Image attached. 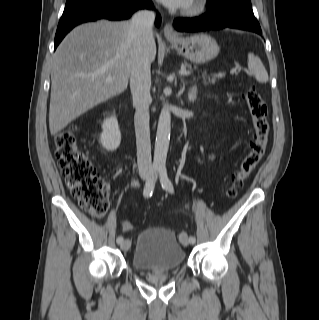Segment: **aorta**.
I'll list each match as a JSON object with an SVG mask.
<instances>
[{
  "instance_id": "1",
  "label": "aorta",
  "mask_w": 319,
  "mask_h": 320,
  "mask_svg": "<svg viewBox=\"0 0 319 320\" xmlns=\"http://www.w3.org/2000/svg\"><path fill=\"white\" fill-rule=\"evenodd\" d=\"M171 132V113L164 107L161 110L154 148V165L165 167Z\"/></svg>"
}]
</instances>
